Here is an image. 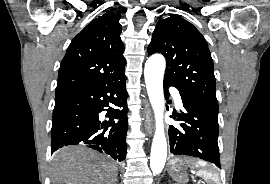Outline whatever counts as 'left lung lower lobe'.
I'll use <instances>...</instances> for the list:
<instances>
[{
	"mask_svg": "<svg viewBox=\"0 0 270 184\" xmlns=\"http://www.w3.org/2000/svg\"><path fill=\"white\" fill-rule=\"evenodd\" d=\"M170 86L176 87L181 95L184 111L177 120L183 130L170 126V150L174 155H185L211 162L220 166L218 148V112L201 103L191 94L180 88L169 79L164 78L165 98H168ZM176 118V116H173Z\"/></svg>",
	"mask_w": 270,
	"mask_h": 184,
	"instance_id": "left-lung-lower-lobe-1",
	"label": "left lung lower lobe"
}]
</instances>
